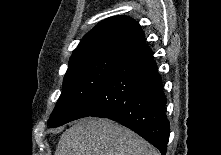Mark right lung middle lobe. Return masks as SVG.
Here are the masks:
<instances>
[{"instance_id":"right-lung-middle-lobe-1","label":"right lung middle lobe","mask_w":221,"mask_h":155,"mask_svg":"<svg viewBox=\"0 0 221 155\" xmlns=\"http://www.w3.org/2000/svg\"><path fill=\"white\" fill-rule=\"evenodd\" d=\"M123 57L101 54L70 63L62 94L49 118V126L57 127L81 118L111 70Z\"/></svg>"}]
</instances>
